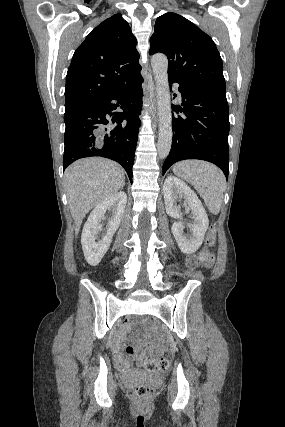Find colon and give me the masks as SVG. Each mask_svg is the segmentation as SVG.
<instances>
[{"label": "colon", "instance_id": "obj_1", "mask_svg": "<svg viewBox=\"0 0 285 427\" xmlns=\"http://www.w3.org/2000/svg\"><path fill=\"white\" fill-rule=\"evenodd\" d=\"M216 238H215V232L214 230H209L204 246L200 250L198 254V261L204 265L205 267H212L214 264V255L210 251V248H212L215 245ZM125 353L127 354H133V348L127 347L125 348ZM143 366L146 372L148 373H157L162 372L168 369L169 367V361L166 357H157L153 359H148L143 362ZM155 392V387L153 384L148 383L144 385H137L135 387L134 393L138 397V399L141 402H148L152 399Z\"/></svg>", "mask_w": 285, "mask_h": 427}]
</instances>
